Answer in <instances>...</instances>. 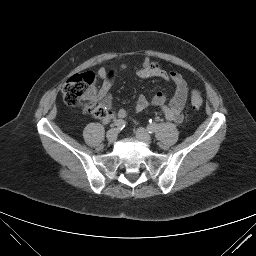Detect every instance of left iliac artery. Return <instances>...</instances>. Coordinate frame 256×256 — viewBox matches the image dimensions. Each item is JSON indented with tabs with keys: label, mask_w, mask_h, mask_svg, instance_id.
I'll return each mask as SVG.
<instances>
[{
	"label": "left iliac artery",
	"mask_w": 256,
	"mask_h": 256,
	"mask_svg": "<svg viewBox=\"0 0 256 256\" xmlns=\"http://www.w3.org/2000/svg\"><path fill=\"white\" fill-rule=\"evenodd\" d=\"M156 127H157V124L155 122H151L147 126V131L152 134V133H154L156 131Z\"/></svg>",
	"instance_id": "44dca946"
}]
</instances>
